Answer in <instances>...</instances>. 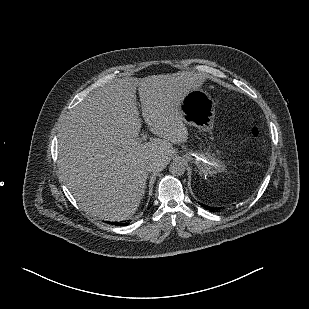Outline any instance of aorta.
I'll list each match as a JSON object with an SVG mask.
<instances>
[{"mask_svg": "<svg viewBox=\"0 0 309 309\" xmlns=\"http://www.w3.org/2000/svg\"><path fill=\"white\" fill-rule=\"evenodd\" d=\"M169 172L173 176H181L185 172V166L181 161H174L169 167Z\"/></svg>", "mask_w": 309, "mask_h": 309, "instance_id": "1", "label": "aorta"}]
</instances>
